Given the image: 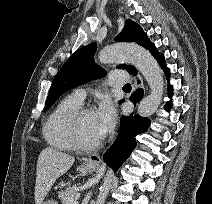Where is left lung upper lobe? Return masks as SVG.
Returning a JSON list of instances; mask_svg holds the SVG:
<instances>
[{
	"label": "left lung upper lobe",
	"mask_w": 212,
	"mask_h": 204,
	"mask_svg": "<svg viewBox=\"0 0 212 204\" xmlns=\"http://www.w3.org/2000/svg\"><path fill=\"white\" fill-rule=\"evenodd\" d=\"M116 41L136 42L151 51L152 55L157 52L150 43L142 28L132 20H127L122 32L115 38ZM96 43H91L74 52L56 74L47 97L44 111H46L65 91L97 79L105 74L94 63ZM118 68L127 69L134 74L136 69L130 65H119Z\"/></svg>",
	"instance_id": "5c2ea615"
}]
</instances>
